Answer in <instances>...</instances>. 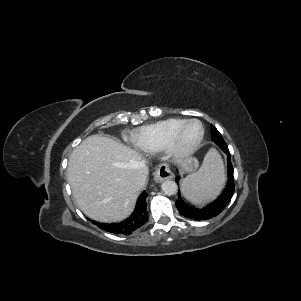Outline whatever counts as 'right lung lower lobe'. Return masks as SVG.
I'll use <instances>...</instances> for the list:
<instances>
[{
	"instance_id": "98d812e1",
	"label": "right lung lower lobe",
	"mask_w": 301,
	"mask_h": 301,
	"mask_svg": "<svg viewBox=\"0 0 301 301\" xmlns=\"http://www.w3.org/2000/svg\"><path fill=\"white\" fill-rule=\"evenodd\" d=\"M147 196L148 194L146 191H143L137 200L135 211L125 221L119 223H100L96 221L91 222L107 232L129 235L147 221V212L145 206V199Z\"/></svg>"
}]
</instances>
